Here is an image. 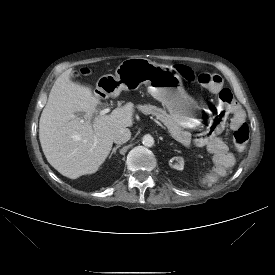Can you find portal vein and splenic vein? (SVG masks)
<instances>
[{"label":"portal vein and splenic vein","instance_id":"1","mask_svg":"<svg viewBox=\"0 0 275 275\" xmlns=\"http://www.w3.org/2000/svg\"><path fill=\"white\" fill-rule=\"evenodd\" d=\"M109 111H110L109 108L103 109V110L100 111V115H105V114L108 113ZM153 120H154V122H155L158 126H160L161 128H163L164 130H166V128H165L158 120H156V119H153Z\"/></svg>","mask_w":275,"mask_h":275}]
</instances>
